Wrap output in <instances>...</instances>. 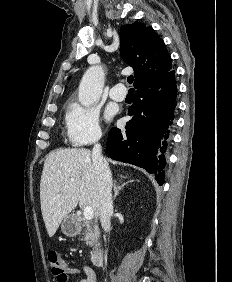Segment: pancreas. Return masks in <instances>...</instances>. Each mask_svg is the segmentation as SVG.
Wrapping results in <instances>:
<instances>
[{"label":"pancreas","mask_w":232,"mask_h":282,"mask_svg":"<svg viewBox=\"0 0 232 282\" xmlns=\"http://www.w3.org/2000/svg\"><path fill=\"white\" fill-rule=\"evenodd\" d=\"M84 240L87 245L93 246L98 243L100 232L95 223L83 220Z\"/></svg>","instance_id":"obj_1"}]
</instances>
